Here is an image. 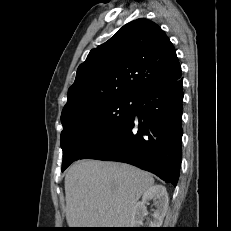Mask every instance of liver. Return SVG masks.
<instances>
[{
  "mask_svg": "<svg viewBox=\"0 0 231 231\" xmlns=\"http://www.w3.org/2000/svg\"><path fill=\"white\" fill-rule=\"evenodd\" d=\"M154 185L148 172L116 162L81 160L65 175L70 228H129L143 193Z\"/></svg>",
  "mask_w": 231,
  "mask_h": 231,
  "instance_id": "liver-1",
  "label": "liver"
}]
</instances>
